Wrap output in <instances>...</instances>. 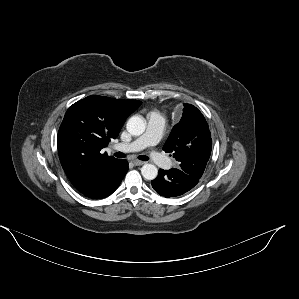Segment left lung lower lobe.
I'll list each match as a JSON object with an SVG mask.
<instances>
[{
  "label": "left lung lower lobe",
  "instance_id": "left-lung-lower-lobe-1",
  "mask_svg": "<svg viewBox=\"0 0 299 299\" xmlns=\"http://www.w3.org/2000/svg\"><path fill=\"white\" fill-rule=\"evenodd\" d=\"M199 179L185 173L181 169H159L156 179L151 181L156 192L166 198L180 196L191 190Z\"/></svg>",
  "mask_w": 299,
  "mask_h": 299
}]
</instances>
